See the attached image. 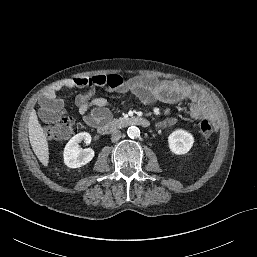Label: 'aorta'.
<instances>
[{
  "instance_id": "aorta-1",
  "label": "aorta",
  "mask_w": 257,
  "mask_h": 257,
  "mask_svg": "<svg viewBox=\"0 0 257 257\" xmlns=\"http://www.w3.org/2000/svg\"><path fill=\"white\" fill-rule=\"evenodd\" d=\"M127 134L130 138H138L140 136V129L136 126H131L127 130Z\"/></svg>"
}]
</instances>
